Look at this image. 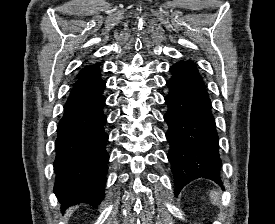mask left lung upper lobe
<instances>
[{
	"label": "left lung upper lobe",
	"mask_w": 275,
	"mask_h": 224,
	"mask_svg": "<svg viewBox=\"0 0 275 224\" xmlns=\"http://www.w3.org/2000/svg\"><path fill=\"white\" fill-rule=\"evenodd\" d=\"M184 67H195L191 61H180L176 63L172 68H184Z\"/></svg>",
	"instance_id": "1"
}]
</instances>
